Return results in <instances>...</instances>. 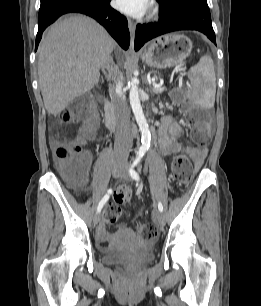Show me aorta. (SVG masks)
I'll return each mask as SVG.
<instances>
[{"label":"aorta","instance_id":"obj_1","mask_svg":"<svg viewBox=\"0 0 261 306\" xmlns=\"http://www.w3.org/2000/svg\"><path fill=\"white\" fill-rule=\"evenodd\" d=\"M129 99H130V105L132 107L134 117L137 121L139 129L141 131V136H142L141 146L138 151V154L144 155L150 145V131H149L147 120L144 116V113L141 107L137 81L135 79L131 80Z\"/></svg>","mask_w":261,"mask_h":306}]
</instances>
